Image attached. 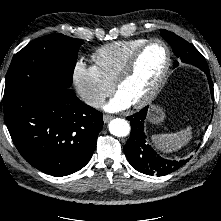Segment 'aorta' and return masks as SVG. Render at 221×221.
I'll return each instance as SVG.
<instances>
[{
	"label": "aorta",
	"mask_w": 221,
	"mask_h": 221,
	"mask_svg": "<svg viewBox=\"0 0 221 221\" xmlns=\"http://www.w3.org/2000/svg\"><path fill=\"white\" fill-rule=\"evenodd\" d=\"M109 131L116 137H125L130 133V125L125 119L116 118L110 121Z\"/></svg>",
	"instance_id": "obj_1"
}]
</instances>
